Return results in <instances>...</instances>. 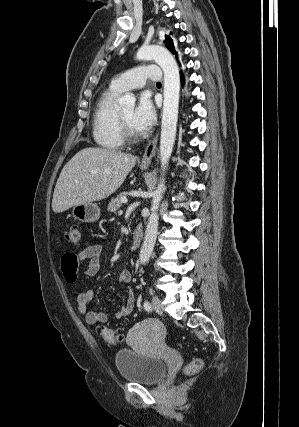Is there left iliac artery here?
<instances>
[{
  "mask_svg": "<svg viewBox=\"0 0 299 427\" xmlns=\"http://www.w3.org/2000/svg\"><path fill=\"white\" fill-rule=\"evenodd\" d=\"M143 306H144V309L148 312L152 310L151 304L148 301H145Z\"/></svg>",
  "mask_w": 299,
  "mask_h": 427,
  "instance_id": "44dca946",
  "label": "left iliac artery"
}]
</instances>
